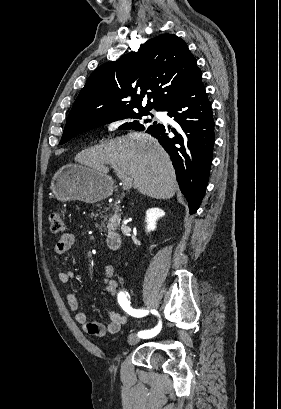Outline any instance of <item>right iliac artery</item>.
I'll return each instance as SVG.
<instances>
[{"label": "right iliac artery", "mask_w": 281, "mask_h": 409, "mask_svg": "<svg viewBox=\"0 0 281 409\" xmlns=\"http://www.w3.org/2000/svg\"><path fill=\"white\" fill-rule=\"evenodd\" d=\"M118 302L120 304V306L123 308V310H125L128 314L134 316V317H143L145 315H147L149 313V311L147 310H136L133 309L130 305V300L128 299V293L121 291L118 294ZM153 314L157 315V311L152 310L151 311ZM161 322H159V324L152 330H144V331H140L138 333V336L140 338H151L155 335H157L160 330H161Z\"/></svg>", "instance_id": "82829eb1"}]
</instances>
